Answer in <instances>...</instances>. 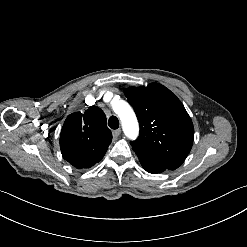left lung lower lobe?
Listing matches in <instances>:
<instances>
[{
	"mask_svg": "<svg viewBox=\"0 0 247 247\" xmlns=\"http://www.w3.org/2000/svg\"><path fill=\"white\" fill-rule=\"evenodd\" d=\"M138 158H139V161H140L142 167L149 173L158 174V173H162V172L168 170V169H165L161 166H158L152 162H149L143 158H140V157H138Z\"/></svg>",
	"mask_w": 247,
	"mask_h": 247,
	"instance_id": "left-lung-lower-lobe-1",
	"label": "left lung lower lobe"
}]
</instances>
